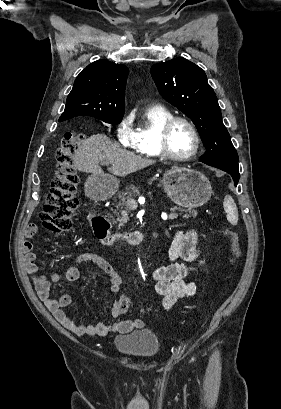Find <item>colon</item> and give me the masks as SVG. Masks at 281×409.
Listing matches in <instances>:
<instances>
[{
	"mask_svg": "<svg viewBox=\"0 0 281 409\" xmlns=\"http://www.w3.org/2000/svg\"><path fill=\"white\" fill-rule=\"evenodd\" d=\"M84 141L83 134L71 131L64 134L61 148L57 151L58 172L50 191L47 204L40 212L42 226L51 234L57 235L71 227L72 217L77 207L74 196L78 176L74 169V155ZM231 251V261L239 256V244L236 235L224 230Z\"/></svg>",
	"mask_w": 281,
	"mask_h": 409,
	"instance_id": "colon-1",
	"label": "colon"
}]
</instances>
